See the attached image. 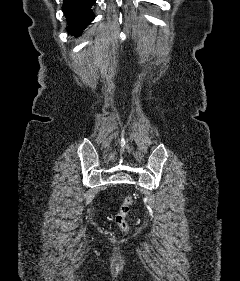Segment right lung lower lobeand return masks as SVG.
<instances>
[{
    "label": "right lung lower lobe",
    "instance_id": "98d812e1",
    "mask_svg": "<svg viewBox=\"0 0 240 281\" xmlns=\"http://www.w3.org/2000/svg\"><path fill=\"white\" fill-rule=\"evenodd\" d=\"M96 0H64L63 11L68 19L69 32L80 35L81 31L94 20L91 10Z\"/></svg>",
    "mask_w": 240,
    "mask_h": 281
}]
</instances>
